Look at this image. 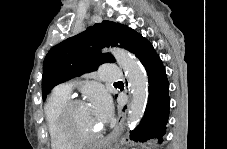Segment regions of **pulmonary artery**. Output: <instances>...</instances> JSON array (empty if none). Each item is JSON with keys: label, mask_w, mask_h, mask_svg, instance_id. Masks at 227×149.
Wrapping results in <instances>:
<instances>
[{"label": "pulmonary artery", "mask_w": 227, "mask_h": 149, "mask_svg": "<svg viewBox=\"0 0 227 149\" xmlns=\"http://www.w3.org/2000/svg\"><path fill=\"white\" fill-rule=\"evenodd\" d=\"M100 75L105 82H116L124 78L122 69L111 64H104L100 68ZM73 88L71 82L63 83L56 90L69 94Z\"/></svg>", "instance_id": "e3ab8cb5"}]
</instances>
